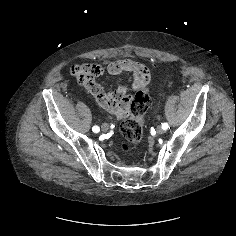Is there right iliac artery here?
Segmentation results:
<instances>
[{"instance_id":"right-iliac-artery-1","label":"right iliac artery","mask_w":236,"mask_h":236,"mask_svg":"<svg viewBox=\"0 0 236 236\" xmlns=\"http://www.w3.org/2000/svg\"><path fill=\"white\" fill-rule=\"evenodd\" d=\"M92 131H93L94 133H98V132L100 131V128H99L98 126H94V127L92 128Z\"/></svg>"}]
</instances>
